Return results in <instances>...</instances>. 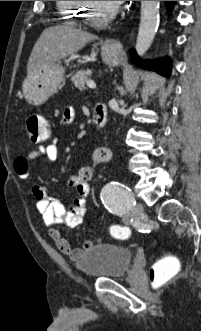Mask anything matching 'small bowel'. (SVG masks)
Returning <instances> with one entry per match:
<instances>
[{
  "mask_svg": "<svg viewBox=\"0 0 201 331\" xmlns=\"http://www.w3.org/2000/svg\"><path fill=\"white\" fill-rule=\"evenodd\" d=\"M101 106V105H98ZM75 117L73 108H66L62 115V124H70ZM59 156V144L57 139H51L43 145H38L28 155L19 157L14 161V170L22 179L29 178V162L36 158H46L50 162L56 161ZM112 158V150L107 147H99L92 154L91 163L83 165L76 175L68 179V186L76 189L78 196L73 203L66 207L58 199L51 198L46 189L40 185L32 187V194L36 202V208L40 213L44 224L49 229V235L56 247L71 260H79L82 255L95 245L92 241H85L80 248H73L69 241L61 234L59 226L75 228L82 224L86 209L87 199L91 193L88 182L95 174V166L109 161Z\"/></svg>",
  "mask_w": 201,
  "mask_h": 331,
  "instance_id": "c3829d8e",
  "label": "small bowel"
}]
</instances>
